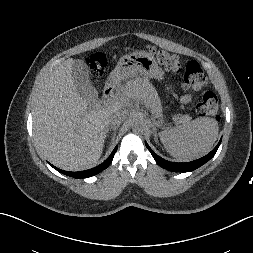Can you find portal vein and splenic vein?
Returning <instances> with one entry per match:
<instances>
[{
  "label": "portal vein and splenic vein",
  "mask_w": 253,
  "mask_h": 253,
  "mask_svg": "<svg viewBox=\"0 0 253 253\" xmlns=\"http://www.w3.org/2000/svg\"><path fill=\"white\" fill-rule=\"evenodd\" d=\"M101 104H102V103H96L97 106H101ZM174 120H175V121H179V122L181 121V119L178 118V117H175Z\"/></svg>",
  "instance_id": "1"
}]
</instances>
